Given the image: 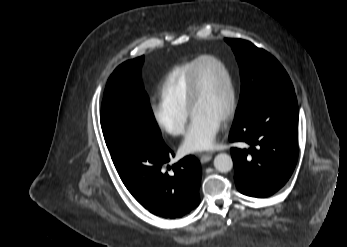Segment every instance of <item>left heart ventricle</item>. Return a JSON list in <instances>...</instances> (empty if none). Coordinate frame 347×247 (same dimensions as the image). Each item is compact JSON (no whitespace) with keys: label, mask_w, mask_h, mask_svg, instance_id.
<instances>
[{"label":"left heart ventricle","mask_w":347,"mask_h":247,"mask_svg":"<svg viewBox=\"0 0 347 247\" xmlns=\"http://www.w3.org/2000/svg\"><path fill=\"white\" fill-rule=\"evenodd\" d=\"M199 97L192 115L205 114L223 118L229 103V87L225 73L212 61H204L198 69Z\"/></svg>","instance_id":"obj_1"}]
</instances>
